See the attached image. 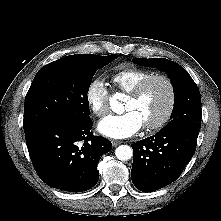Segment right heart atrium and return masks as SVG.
Returning <instances> with one entry per match:
<instances>
[{
	"label": "right heart atrium",
	"instance_id": "right-heart-atrium-1",
	"mask_svg": "<svg viewBox=\"0 0 221 221\" xmlns=\"http://www.w3.org/2000/svg\"><path fill=\"white\" fill-rule=\"evenodd\" d=\"M85 101L89 109L98 117L108 112V90L101 79H94L88 84Z\"/></svg>",
	"mask_w": 221,
	"mask_h": 221
}]
</instances>
